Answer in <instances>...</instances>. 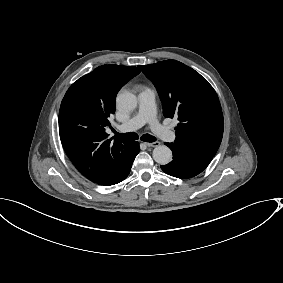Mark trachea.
Here are the masks:
<instances>
[{
  "instance_id": "obj_1",
  "label": "trachea",
  "mask_w": 283,
  "mask_h": 283,
  "mask_svg": "<svg viewBox=\"0 0 283 283\" xmlns=\"http://www.w3.org/2000/svg\"><path fill=\"white\" fill-rule=\"evenodd\" d=\"M115 136L117 138H122V139H130V140H137L138 139V135L135 132L124 133V134L115 132ZM141 140L145 141V142H155V141H157V138L152 136V135H149V134H144L141 137Z\"/></svg>"
}]
</instances>
